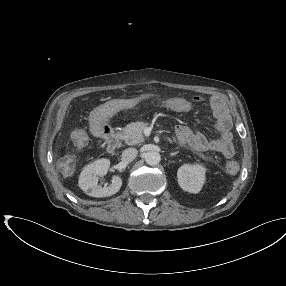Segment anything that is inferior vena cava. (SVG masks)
<instances>
[{
  "label": "inferior vena cava",
  "instance_id": "inferior-vena-cava-1",
  "mask_svg": "<svg viewBox=\"0 0 286 286\" xmlns=\"http://www.w3.org/2000/svg\"><path fill=\"white\" fill-rule=\"evenodd\" d=\"M137 153L138 152L135 148L125 149L122 153L121 159L124 163L132 162L136 158Z\"/></svg>",
  "mask_w": 286,
  "mask_h": 286
}]
</instances>
